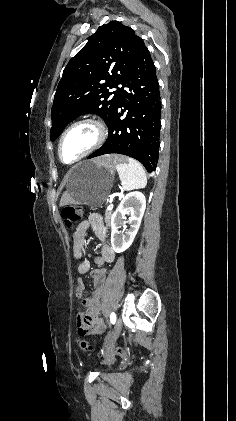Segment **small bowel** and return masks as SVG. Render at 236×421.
<instances>
[{
  "label": "small bowel",
  "mask_w": 236,
  "mask_h": 421,
  "mask_svg": "<svg viewBox=\"0 0 236 421\" xmlns=\"http://www.w3.org/2000/svg\"><path fill=\"white\" fill-rule=\"evenodd\" d=\"M89 228H91L94 231V233L99 239H104L106 237V227L103 223L102 217L99 214H92L87 220H84L83 222L79 224V226L77 227L74 233V239H75L74 246L76 250L83 247L85 234ZM82 269L86 270L87 269L86 265H83ZM83 292H84V284L83 282L79 281L76 286V294L78 296H81ZM79 322H81L80 325H83L82 318H79ZM100 327H101V324L96 323V325L94 326L95 331L100 329Z\"/></svg>",
  "instance_id": "1"
}]
</instances>
